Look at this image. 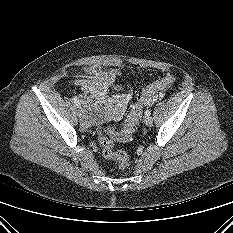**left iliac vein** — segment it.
Segmentation results:
<instances>
[{"mask_svg": "<svg viewBox=\"0 0 233 233\" xmlns=\"http://www.w3.org/2000/svg\"><path fill=\"white\" fill-rule=\"evenodd\" d=\"M144 123H145V125H147V126L152 125V123H153V118H152L150 115H145V117H144Z\"/></svg>", "mask_w": 233, "mask_h": 233, "instance_id": "4c4485c4", "label": "left iliac vein"}]
</instances>
